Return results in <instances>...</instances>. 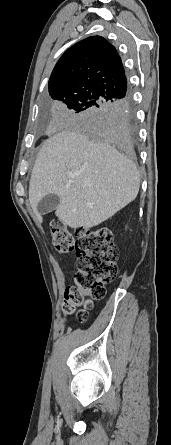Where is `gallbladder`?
Listing matches in <instances>:
<instances>
[{
    "instance_id": "bac80fb5",
    "label": "gallbladder",
    "mask_w": 171,
    "mask_h": 445,
    "mask_svg": "<svg viewBox=\"0 0 171 445\" xmlns=\"http://www.w3.org/2000/svg\"><path fill=\"white\" fill-rule=\"evenodd\" d=\"M60 198L56 194H48L44 196L37 205V212L40 215L52 212L59 205Z\"/></svg>"
}]
</instances>
